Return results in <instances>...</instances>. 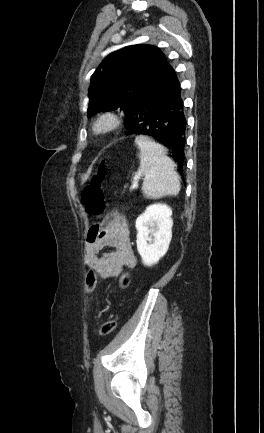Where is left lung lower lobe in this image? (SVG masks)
Here are the masks:
<instances>
[{
  "instance_id": "0a47b994",
  "label": "left lung lower lobe",
  "mask_w": 264,
  "mask_h": 433,
  "mask_svg": "<svg viewBox=\"0 0 264 433\" xmlns=\"http://www.w3.org/2000/svg\"><path fill=\"white\" fill-rule=\"evenodd\" d=\"M128 134L145 135L166 146L183 174L186 118L175 70L167 64L138 95L125 117Z\"/></svg>"
}]
</instances>
